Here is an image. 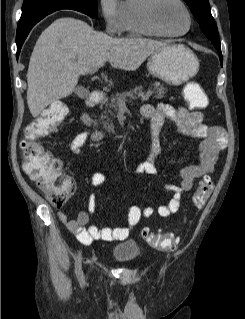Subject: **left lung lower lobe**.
<instances>
[{
  "mask_svg": "<svg viewBox=\"0 0 245 319\" xmlns=\"http://www.w3.org/2000/svg\"><path fill=\"white\" fill-rule=\"evenodd\" d=\"M217 51H218V53H219V55H220V62H221V64H222V53H221V49H217Z\"/></svg>",
  "mask_w": 245,
  "mask_h": 319,
  "instance_id": "obj_1",
  "label": "left lung lower lobe"
}]
</instances>
